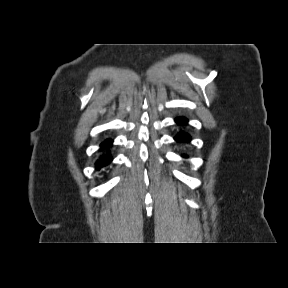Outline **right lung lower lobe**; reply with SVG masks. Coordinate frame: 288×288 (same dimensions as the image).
<instances>
[{"label": "right lung lower lobe", "instance_id": "98d812e1", "mask_svg": "<svg viewBox=\"0 0 288 288\" xmlns=\"http://www.w3.org/2000/svg\"><path fill=\"white\" fill-rule=\"evenodd\" d=\"M112 140L111 139H107L105 140L100 146L102 150H105V154L101 155L100 158L98 159V161L96 162V169L99 170L102 167L107 166L111 161H112V157L109 153V147L112 144Z\"/></svg>", "mask_w": 288, "mask_h": 288}]
</instances>
